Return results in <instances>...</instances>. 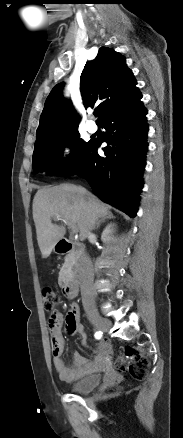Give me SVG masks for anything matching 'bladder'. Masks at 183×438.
Instances as JSON below:
<instances>
[{"label": "bladder", "instance_id": "31cf9c89", "mask_svg": "<svg viewBox=\"0 0 183 438\" xmlns=\"http://www.w3.org/2000/svg\"><path fill=\"white\" fill-rule=\"evenodd\" d=\"M101 378L100 374L83 376L70 385V390L75 393H88L100 384Z\"/></svg>", "mask_w": 183, "mask_h": 438}]
</instances>
